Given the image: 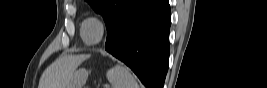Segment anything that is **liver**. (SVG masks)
I'll return each instance as SVG.
<instances>
[{
  "instance_id": "obj_1",
  "label": "liver",
  "mask_w": 267,
  "mask_h": 88,
  "mask_svg": "<svg viewBox=\"0 0 267 88\" xmlns=\"http://www.w3.org/2000/svg\"><path fill=\"white\" fill-rule=\"evenodd\" d=\"M84 55H63L42 73L38 88H66Z\"/></svg>"
}]
</instances>
